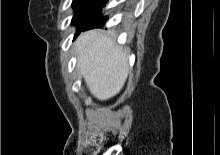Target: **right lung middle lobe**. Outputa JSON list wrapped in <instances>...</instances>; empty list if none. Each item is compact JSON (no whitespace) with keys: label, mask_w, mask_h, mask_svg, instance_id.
<instances>
[{"label":"right lung middle lobe","mask_w":220,"mask_h":155,"mask_svg":"<svg viewBox=\"0 0 220 155\" xmlns=\"http://www.w3.org/2000/svg\"><path fill=\"white\" fill-rule=\"evenodd\" d=\"M107 0H74L72 7L74 16L72 22L79 28L89 24L101 15Z\"/></svg>","instance_id":"obj_1"}]
</instances>
